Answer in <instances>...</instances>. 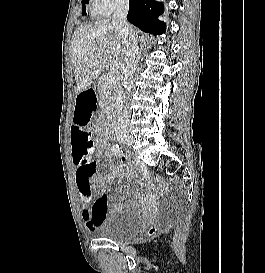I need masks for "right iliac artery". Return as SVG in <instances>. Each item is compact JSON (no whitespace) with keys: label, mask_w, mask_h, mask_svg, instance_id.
Masks as SVG:
<instances>
[{"label":"right iliac artery","mask_w":265,"mask_h":273,"mask_svg":"<svg viewBox=\"0 0 265 273\" xmlns=\"http://www.w3.org/2000/svg\"><path fill=\"white\" fill-rule=\"evenodd\" d=\"M112 152L117 156H121L123 154V150L118 144L112 146Z\"/></svg>","instance_id":"82829eb1"}]
</instances>
